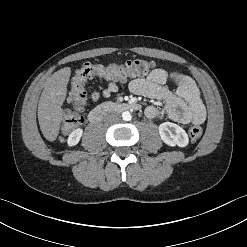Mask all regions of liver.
Masks as SVG:
<instances>
[{
	"instance_id": "1",
	"label": "liver",
	"mask_w": 247,
	"mask_h": 247,
	"mask_svg": "<svg viewBox=\"0 0 247 247\" xmlns=\"http://www.w3.org/2000/svg\"><path fill=\"white\" fill-rule=\"evenodd\" d=\"M71 69H60L44 83L38 104V121L43 136L48 141L56 140L62 121V105L67 94Z\"/></svg>"
}]
</instances>
